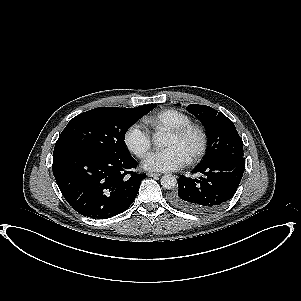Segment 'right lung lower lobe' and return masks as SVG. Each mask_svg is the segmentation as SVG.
<instances>
[{
    "label": "right lung lower lobe",
    "mask_w": 301,
    "mask_h": 301,
    "mask_svg": "<svg viewBox=\"0 0 301 301\" xmlns=\"http://www.w3.org/2000/svg\"><path fill=\"white\" fill-rule=\"evenodd\" d=\"M137 162L129 154L74 150L53 156V174L67 202L81 215L106 219L124 212L146 178L130 169Z\"/></svg>",
    "instance_id": "obj_1"
}]
</instances>
